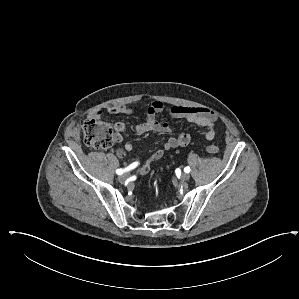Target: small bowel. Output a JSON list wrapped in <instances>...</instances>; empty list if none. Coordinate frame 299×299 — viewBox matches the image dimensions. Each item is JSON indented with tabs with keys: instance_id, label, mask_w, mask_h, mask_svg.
I'll use <instances>...</instances> for the list:
<instances>
[{
	"instance_id": "1",
	"label": "small bowel",
	"mask_w": 299,
	"mask_h": 299,
	"mask_svg": "<svg viewBox=\"0 0 299 299\" xmlns=\"http://www.w3.org/2000/svg\"><path fill=\"white\" fill-rule=\"evenodd\" d=\"M164 106L159 101H154L148 107L145 119L142 123L135 126V132L137 134H143L146 132H158V133H170L171 127L169 123L162 122L157 119V116L162 113ZM105 113L111 115H132L134 114L133 109L126 105L109 106L105 110L94 109L90 113V117L99 118ZM169 114L173 118H182L188 123L196 124L198 126L205 127L207 132L205 138L211 141L215 137V124L217 121L216 114L205 107H187V106H173L169 110ZM115 128V141L121 142L123 140L122 133L125 130V124L123 122H117L114 125ZM190 142V135L187 132H181L177 136L169 137L163 144L162 148L157 150L146 162L142 165L139 172L140 174H146L156 160H159L165 152L177 148L184 147ZM134 146L132 143H125L124 147L116 150V154L120 158H124L127 152H132Z\"/></svg>"
}]
</instances>
